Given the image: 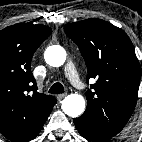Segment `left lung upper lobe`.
Listing matches in <instances>:
<instances>
[{
  "mask_svg": "<svg viewBox=\"0 0 142 142\" xmlns=\"http://www.w3.org/2000/svg\"><path fill=\"white\" fill-rule=\"evenodd\" d=\"M79 47L88 75L97 79L86 92L87 108L82 115L100 128L119 133L137 102L140 66L133 44L120 28L101 19H87L64 27Z\"/></svg>",
  "mask_w": 142,
  "mask_h": 142,
  "instance_id": "1",
  "label": "left lung upper lobe"
}]
</instances>
